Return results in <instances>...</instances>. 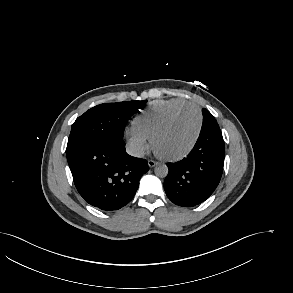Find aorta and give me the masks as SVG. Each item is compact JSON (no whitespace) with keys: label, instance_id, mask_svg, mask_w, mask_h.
Segmentation results:
<instances>
[{"label":"aorta","instance_id":"obj_1","mask_svg":"<svg viewBox=\"0 0 293 293\" xmlns=\"http://www.w3.org/2000/svg\"><path fill=\"white\" fill-rule=\"evenodd\" d=\"M154 173L156 176L164 178L168 174V167L165 164H157L154 169Z\"/></svg>","mask_w":293,"mask_h":293}]
</instances>
